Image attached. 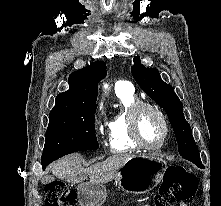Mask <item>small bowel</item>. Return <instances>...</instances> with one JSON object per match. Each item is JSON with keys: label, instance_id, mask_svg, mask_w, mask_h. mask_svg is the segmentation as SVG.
<instances>
[{"label": "small bowel", "instance_id": "obj_1", "mask_svg": "<svg viewBox=\"0 0 221 206\" xmlns=\"http://www.w3.org/2000/svg\"><path fill=\"white\" fill-rule=\"evenodd\" d=\"M146 206H152V205H146ZM179 206H187L185 203L179 204Z\"/></svg>", "mask_w": 221, "mask_h": 206}]
</instances>
